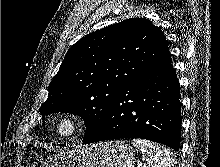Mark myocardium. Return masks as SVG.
Returning <instances> with one entry per match:
<instances>
[{"label": "myocardium", "mask_w": 220, "mask_h": 167, "mask_svg": "<svg viewBox=\"0 0 220 167\" xmlns=\"http://www.w3.org/2000/svg\"><path fill=\"white\" fill-rule=\"evenodd\" d=\"M63 128H66V130H63ZM85 129V119L74 112H67L60 115L53 124L55 135L62 140L76 139Z\"/></svg>", "instance_id": "obj_1"}]
</instances>
